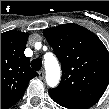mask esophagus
<instances>
[{
    "mask_svg": "<svg viewBox=\"0 0 109 109\" xmlns=\"http://www.w3.org/2000/svg\"><path fill=\"white\" fill-rule=\"evenodd\" d=\"M44 75H45L44 70H41V71L38 72V76H39L40 79H43Z\"/></svg>",
    "mask_w": 109,
    "mask_h": 109,
    "instance_id": "34e87169",
    "label": "esophagus"
}]
</instances>
